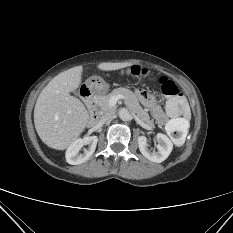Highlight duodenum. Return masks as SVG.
<instances>
[{
  "mask_svg": "<svg viewBox=\"0 0 233 233\" xmlns=\"http://www.w3.org/2000/svg\"><path fill=\"white\" fill-rule=\"evenodd\" d=\"M81 96L85 100V102L90 110L89 124L94 125L97 123L98 118H99V112L97 110L94 91L92 88H90L88 86H84L81 89Z\"/></svg>",
  "mask_w": 233,
  "mask_h": 233,
  "instance_id": "410a0bca",
  "label": "duodenum"
}]
</instances>
